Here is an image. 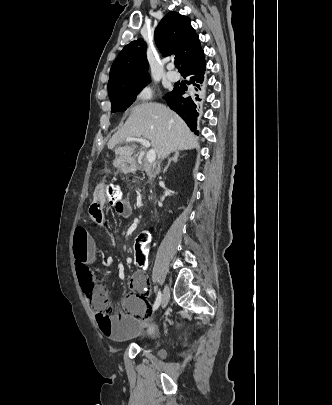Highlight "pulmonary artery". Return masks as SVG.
Returning <instances> with one entry per match:
<instances>
[{
    "mask_svg": "<svg viewBox=\"0 0 332 405\" xmlns=\"http://www.w3.org/2000/svg\"><path fill=\"white\" fill-rule=\"evenodd\" d=\"M166 77L168 80L176 82L179 80V75L172 70V65H169L168 71L166 73Z\"/></svg>",
    "mask_w": 332,
    "mask_h": 405,
    "instance_id": "pulmonary-artery-1",
    "label": "pulmonary artery"
}]
</instances>
